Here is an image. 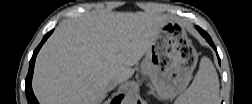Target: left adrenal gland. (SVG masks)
Listing matches in <instances>:
<instances>
[{
    "instance_id": "a2214340",
    "label": "left adrenal gland",
    "mask_w": 252,
    "mask_h": 104,
    "mask_svg": "<svg viewBox=\"0 0 252 104\" xmlns=\"http://www.w3.org/2000/svg\"><path fill=\"white\" fill-rule=\"evenodd\" d=\"M150 86V91L148 92V94H152V95H154V96H157L156 94H155V92H154V89H153V87L151 86V85H149Z\"/></svg>"
}]
</instances>
